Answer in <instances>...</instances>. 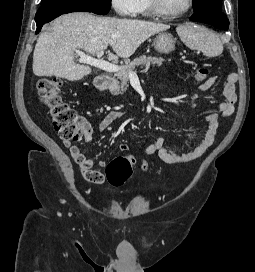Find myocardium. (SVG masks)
<instances>
[{
    "label": "myocardium",
    "mask_w": 255,
    "mask_h": 272,
    "mask_svg": "<svg viewBox=\"0 0 255 272\" xmlns=\"http://www.w3.org/2000/svg\"><path fill=\"white\" fill-rule=\"evenodd\" d=\"M149 5L150 9L153 12L154 15L162 18H167V19H174V18H179L186 13H188L192 6H193V0H188V4L185 9L179 12L171 13L167 12L163 9L161 0H149Z\"/></svg>",
    "instance_id": "1"
}]
</instances>
